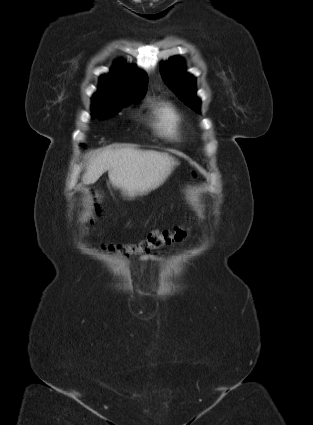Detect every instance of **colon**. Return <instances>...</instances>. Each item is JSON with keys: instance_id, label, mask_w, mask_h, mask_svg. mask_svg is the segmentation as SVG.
Instances as JSON below:
<instances>
[{"instance_id": "obj_1", "label": "colon", "mask_w": 313, "mask_h": 425, "mask_svg": "<svg viewBox=\"0 0 313 425\" xmlns=\"http://www.w3.org/2000/svg\"><path fill=\"white\" fill-rule=\"evenodd\" d=\"M99 212L100 208L96 205L94 208V214H98ZM94 214L87 218L86 223L89 224L93 222ZM186 235L187 231L180 227L172 230H154L148 234L146 239L137 244H110L106 245L105 249L124 256L133 254H150L175 242L181 241L186 237Z\"/></svg>"}]
</instances>
